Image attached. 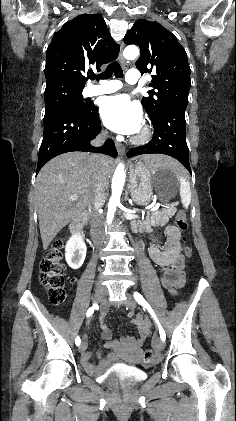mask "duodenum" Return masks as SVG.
I'll return each instance as SVG.
<instances>
[{"label":"duodenum","mask_w":236,"mask_h":421,"mask_svg":"<svg viewBox=\"0 0 236 421\" xmlns=\"http://www.w3.org/2000/svg\"><path fill=\"white\" fill-rule=\"evenodd\" d=\"M87 218V212H82L70 224V231L78 240L84 239L83 227L86 224ZM149 253L151 259L163 268L164 285L170 288L180 286L183 281V260L177 246L171 243L165 250H157L151 247ZM139 342L140 340L136 341V344H139ZM108 347H113V344H108ZM115 358L116 355L112 353L103 359L98 366H95L88 362L89 356L84 355L83 365L89 374L99 375Z\"/></svg>","instance_id":"obj_1"}]
</instances>
